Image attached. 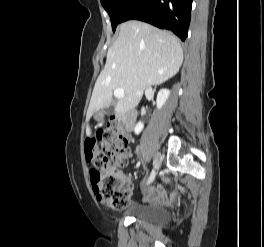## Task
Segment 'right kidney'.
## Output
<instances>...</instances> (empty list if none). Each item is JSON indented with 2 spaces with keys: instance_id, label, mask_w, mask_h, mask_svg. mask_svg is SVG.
<instances>
[{
  "instance_id": "ca27d5eb",
  "label": "right kidney",
  "mask_w": 264,
  "mask_h": 247,
  "mask_svg": "<svg viewBox=\"0 0 264 247\" xmlns=\"http://www.w3.org/2000/svg\"><path fill=\"white\" fill-rule=\"evenodd\" d=\"M170 95V91L168 89H161L157 94L156 105L158 109H161L162 106L167 101ZM144 128V124L142 122H138L135 126L134 132L135 134H139Z\"/></svg>"
}]
</instances>
